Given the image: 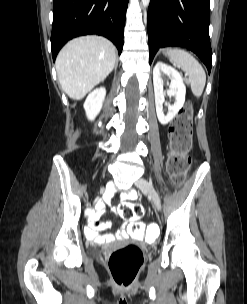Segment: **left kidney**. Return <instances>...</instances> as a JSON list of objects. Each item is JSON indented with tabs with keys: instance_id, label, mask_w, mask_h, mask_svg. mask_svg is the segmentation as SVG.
Listing matches in <instances>:
<instances>
[{
	"instance_id": "left-kidney-1",
	"label": "left kidney",
	"mask_w": 247,
	"mask_h": 304,
	"mask_svg": "<svg viewBox=\"0 0 247 304\" xmlns=\"http://www.w3.org/2000/svg\"><path fill=\"white\" fill-rule=\"evenodd\" d=\"M161 73H164L170 78L171 83L170 88L167 91V95L170 97L174 96L176 100L173 105H168L167 115H164L163 113L165 93L163 91V81L161 78ZM153 84L157 117L161 124L166 125L175 117V115L183 107L185 102L186 87L178 71L161 61H158L153 69Z\"/></svg>"
}]
</instances>
